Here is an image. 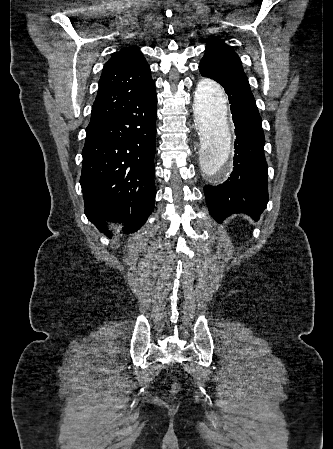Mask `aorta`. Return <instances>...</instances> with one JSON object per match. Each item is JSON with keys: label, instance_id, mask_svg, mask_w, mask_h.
<instances>
[{"label": "aorta", "instance_id": "aorta-1", "mask_svg": "<svg viewBox=\"0 0 333 449\" xmlns=\"http://www.w3.org/2000/svg\"><path fill=\"white\" fill-rule=\"evenodd\" d=\"M194 114L202 136L197 163L203 175L216 185L232 161L233 132L229 100L223 88L210 79L199 81Z\"/></svg>", "mask_w": 333, "mask_h": 449}]
</instances>
